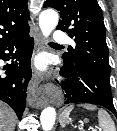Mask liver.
I'll use <instances>...</instances> for the list:
<instances>
[{"instance_id":"obj_1","label":"liver","mask_w":117,"mask_h":131,"mask_svg":"<svg viewBox=\"0 0 117 131\" xmlns=\"http://www.w3.org/2000/svg\"><path fill=\"white\" fill-rule=\"evenodd\" d=\"M16 125L15 112L0 101V131H14Z\"/></svg>"}]
</instances>
